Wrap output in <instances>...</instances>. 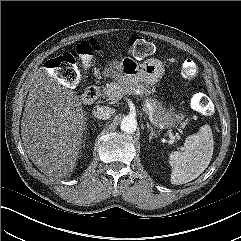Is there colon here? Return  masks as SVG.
Listing matches in <instances>:
<instances>
[{
	"label": "colon",
	"mask_w": 241,
	"mask_h": 241,
	"mask_svg": "<svg viewBox=\"0 0 241 241\" xmlns=\"http://www.w3.org/2000/svg\"><path fill=\"white\" fill-rule=\"evenodd\" d=\"M128 45L130 52L135 57H145L154 52L153 43L143 37L130 38ZM77 57L78 51L76 49V52L64 53L48 60L45 66L48 70H51L56 74L63 82L73 86L80 78V71L77 67ZM181 73L185 80H192L197 74L196 63L192 59L184 60L181 66ZM191 106L195 111L204 113L208 110V99L201 94H195L191 99Z\"/></svg>",
	"instance_id": "colon-1"
}]
</instances>
